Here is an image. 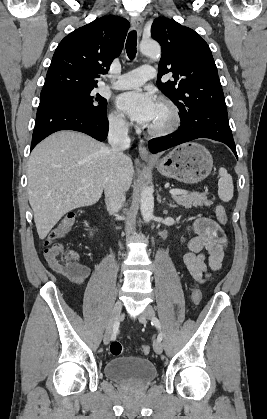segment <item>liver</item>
<instances>
[{
  "mask_svg": "<svg viewBox=\"0 0 267 419\" xmlns=\"http://www.w3.org/2000/svg\"><path fill=\"white\" fill-rule=\"evenodd\" d=\"M109 148L74 131H59L40 142L28 162V198L40 239L69 211L101 198L109 171ZM127 189L134 168L129 156L120 161Z\"/></svg>",
  "mask_w": 267,
  "mask_h": 419,
  "instance_id": "liver-1",
  "label": "liver"
}]
</instances>
